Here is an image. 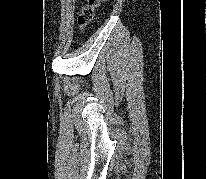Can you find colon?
<instances>
[{
	"label": "colon",
	"mask_w": 207,
	"mask_h": 179,
	"mask_svg": "<svg viewBox=\"0 0 207 179\" xmlns=\"http://www.w3.org/2000/svg\"><path fill=\"white\" fill-rule=\"evenodd\" d=\"M106 0H88L78 17V25L82 29L86 24L94 20L97 10Z\"/></svg>",
	"instance_id": "1"
}]
</instances>
